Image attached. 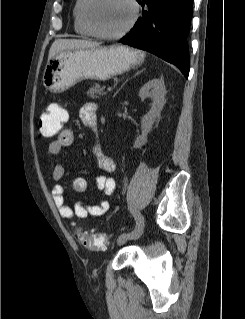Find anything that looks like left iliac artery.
Listing matches in <instances>:
<instances>
[{
	"instance_id": "44dca946",
	"label": "left iliac artery",
	"mask_w": 245,
	"mask_h": 319,
	"mask_svg": "<svg viewBox=\"0 0 245 319\" xmlns=\"http://www.w3.org/2000/svg\"><path fill=\"white\" fill-rule=\"evenodd\" d=\"M130 211H131L132 215L135 217L136 226H135L133 231L126 232L127 235H132V234H134L136 232H141L143 230V228H144V218H143V216L139 212H137L135 209H133V208H130Z\"/></svg>"
}]
</instances>
